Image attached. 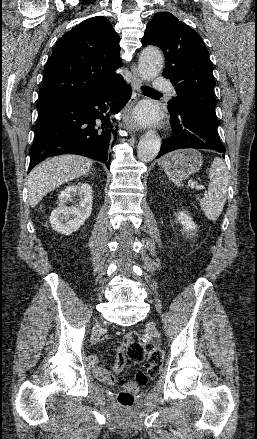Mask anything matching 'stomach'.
I'll use <instances>...</instances> for the list:
<instances>
[{
	"mask_svg": "<svg viewBox=\"0 0 257 439\" xmlns=\"http://www.w3.org/2000/svg\"><path fill=\"white\" fill-rule=\"evenodd\" d=\"M202 163V155L197 150L180 149L170 153L162 161V166L168 169L173 178L183 180L199 171Z\"/></svg>",
	"mask_w": 257,
	"mask_h": 439,
	"instance_id": "0dacf381",
	"label": "stomach"
}]
</instances>
